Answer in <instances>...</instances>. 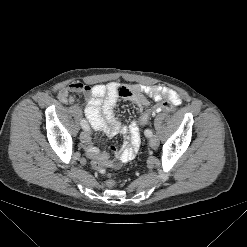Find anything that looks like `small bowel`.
<instances>
[{"instance_id":"1","label":"small bowel","mask_w":247,"mask_h":247,"mask_svg":"<svg viewBox=\"0 0 247 247\" xmlns=\"http://www.w3.org/2000/svg\"><path fill=\"white\" fill-rule=\"evenodd\" d=\"M121 85L117 82L106 84L87 85L80 82H73L58 92V99L65 104L75 102L74 94H82L87 99L85 107V116L90 125L96 131H102L108 136H114L122 133L125 142L120 151L112 148V153L116 155L111 159L107 153H101L94 147H89L86 151L87 156L91 159L93 166L101 163L104 167L118 168L122 163L132 160L140 144V118L133 121L128 127L123 125L115 116L114 109L120 98H124L136 103L143 108L149 104L147 97L155 101L163 99L173 105H179L181 98L179 94L167 87L132 85L124 86L128 94L121 95L119 92Z\"/></svg>"}]
</instances>
